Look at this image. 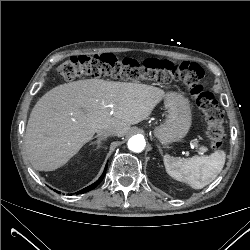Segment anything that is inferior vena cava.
Segmentation results:
<instances>
[{
	"label": "inferior vena cava",
	"instance_id": "inferior-vena-cava-1",
	"mask_svg": "<svg viewBox=\"0 0 250 250\" xmlns=\"http://www.w3.org/2000/svg\"><path fill=\"white\" fill-rule=\"evenodd\" d=\"M116 132L113 129H105V130H99L97 132V136L99 137H107V136H115Z\"/></svg>",
	"mask_w": 250,
	"mask_h": 250
}]
</instances>
